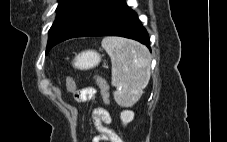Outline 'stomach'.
Returning <instances> with one entry per match:
<instances>
[{
    "label": "stomach",
    "mask_w": 227,
    "mask_h": 142,
    "mask_svg": "<svg viewBox=\"0 0 227 142\" xmlns=\"http://www.w3.org/2000/svg\"><path fill=\"white\" fill-rule=\"evenodd\" d=\"M100 61L101 57L97 52L93 50H86L79 53L75 57L73 65L75 68H78L80 70H87L97 66Z\"/></svg>",
    "instance_id": "obj_1"
}]
</instances>
